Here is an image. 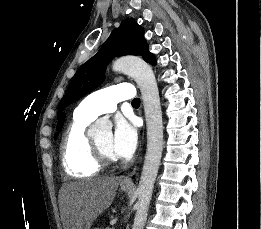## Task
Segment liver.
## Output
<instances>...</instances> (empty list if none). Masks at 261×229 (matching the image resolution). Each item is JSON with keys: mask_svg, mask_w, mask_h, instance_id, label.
<instances>
[{"mask_svg": "<svg viewBox=\"0 0 261 229\" xmlns=\"http://www.w3.org/2000/svg\"><path fill=\"white\" fill-rule=\"evenodd\" d=\"M121 177H98L69 183L64 187L67 229H90L114 201Z\"/></svg>", "mask_w": 261, "mask_h": 229, "instance_id": "obj_1", "label": "liver"}]
</instances>
